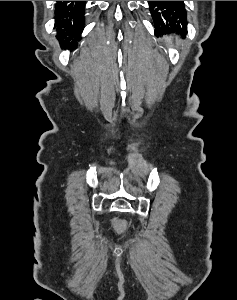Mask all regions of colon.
<instances>
[{
    "label": "colon",
    "instance_id": "1",
    "mask_svg": "<svg viewBox=\"0 0 237 300\" xmlns=\"http://www.w3.org/2000/svg\"><path fill=\"white\" fill-rule=\"evenodd\" d=\"M116 227H117L118 229H123V228H124V224H122V223H120V222H117V223H116Z\"/></svg>",
    "mask_w": 237,
    "mask_h": 300
}]
</instances>
